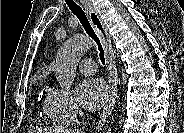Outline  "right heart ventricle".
I'll return each mask as SVG.
<instances>
[{
	"label": "right heart ventricle",
	"mask_w": 184,
	"mask_h": 133,
	"mask_svg": "<svg viewBox=\"0 0 184 133\" xmlns=\"http://www.w3.org/2000/svg\"><path fill=\"white\" fill-rule=\"evenodd\" d=\"M45 76V75H43ZM52 89V88H51ZM49 92V90H48ZM43 110L44 112L53 120V121H59L57 116L54 114L52 108H51V105L49 103V100H48V93H47V96L43 102Z\"/></svg>",
	"instance_id": "obj_1"
}]
</instances>
